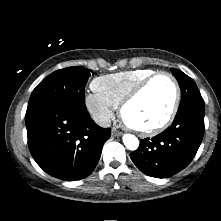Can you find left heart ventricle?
Wrapping results in <instances>:
<instances>
[{
	"label": "left heart ventricle",
	"instance_id": "1",
	"mask_svg": "<svg viewBox=\"0 0 221 221\" xmlns=\"http://www.w3.org/2000/svg\"><path fill=\"white\" fill-rule=\"evenodd\" d=\"M174 100L171 81L160 76L152 81L125 110V120L140 129L153 127L164 120Z\"/></svg>",
	"mask_w": 221,
	"mask_h": 221
}]
</instances>
